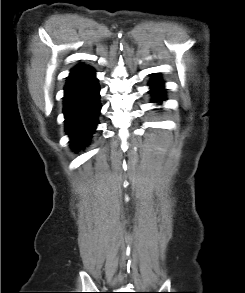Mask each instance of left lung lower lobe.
I'll return each instance as SVG.
<instances>
[{"instance_id": "left-lung-lower-lobe-1", "label": "left lung lower lobe", "mask_w": 245, "mask_h": 293, "mask_svg": "<svg viewBox=\"0 0 245 293\" xmlns=\"http://www.w3.org/2000/svg\"><path fill=\"white\" fill-rule=\"evenodd\" d=\"M151 85L150 92L153 93L155 96V101H162L164 100V89L160 78H155Z\"/></svg>"}]
</instances>
